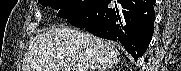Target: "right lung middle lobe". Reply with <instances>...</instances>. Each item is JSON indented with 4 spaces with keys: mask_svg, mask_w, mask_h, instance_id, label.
<instances>
[{
    "mask_svg": "<svg viewBox=\"0 0 181 71\" xmlns=\"http://www.w3.org/2000/svg\"><path fill=\"white\" fill-rule=\"evenodd\" d=\"M39 2L59 10L58 16L67 19L87 11L97 0H40Z\"/></svg>",
    "mask_w": 181,
    "mask_h": 71,
    "instance_id": "dd1d6c3e",
    "label": "right lung middle lobe"
}]
</instances>
